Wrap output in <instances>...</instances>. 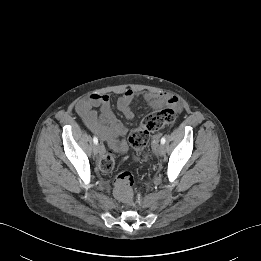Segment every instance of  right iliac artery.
<instances>
[{
    "mask_svg": "<svg viewBox=\"0 0 261 261\" xmlns=\"http://www.w3.org/2000/svg\"><path fill=\"white\" fill-rule=\"evenodd\" d=\"M93 142H94V144H97V143H98L97 137H94V138H93Z\"/></svg>",
    "mask_w": 261,
    "mask_h": 261,
    "instance_id": "right-iliac-artery-1",
    "label": "right iliac artery"
}]
</instances>
